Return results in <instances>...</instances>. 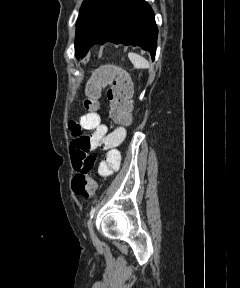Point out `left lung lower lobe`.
I'll use <instances>...</instances> for the list:
<instances>
[{"instance_id":"obj_1","label":"left lung lower lobe","mask_w":240,"mask_h":288,"mask_svg":"<svg viewBox=\"0 0 240 288\" xmlns=\"http://www.w3.org/2000/svg\"><path fill=\"white\" fill-rule=\"evenodd\" d=\"M157 34L154 13L144 0H110L92 34L75 56L83 58L93 45L112 42L140 46L154 59Z\"/></svg>"}]
</instances>
